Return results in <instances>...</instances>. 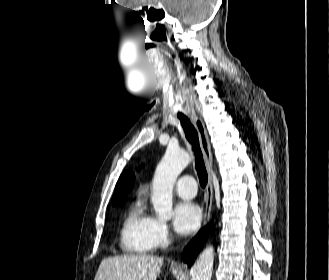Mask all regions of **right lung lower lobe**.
I'll return each mask as SVG.
<instances>
[{
    "label": "right lung lower lobe",
    "mask_w": 329,
    "mask_h": 280,
    "mask_svg": "<svg viewBox=\"0 0 329 280\" xmlns=\"http://www.w3.org/2000/svg\"><path fill=\"white\" fill-rule=\"evenodd\" d=\"M209 234V225H207L204 229H202L187 245L183 253V260L188 264L190 267L197 254L202 249L203 245L205 244Z\"/></svg>",
    "instance_id": "1"
}]
</instances>
